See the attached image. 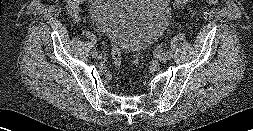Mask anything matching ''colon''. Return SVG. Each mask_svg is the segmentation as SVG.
<instances>
[{
    "label": "colon",
    "mask_w": 253,
    "mask_h": 131,
    "mask_svg": "<svg viewBox=\"0 0 253 131\" xmlns=\"http://www.w3.org/2000/svg\"><path fill=\"white\" fill-rule=\"evenodd\" d=\"M192 0H174V6L176 8L187 7ZM209 5L216 4L218 0H203ZM112 58L115 66L120 69L121 67V51L117 46L112 48Z\"/></svg>",
    "instance_id": "1"
}]
</instances>
